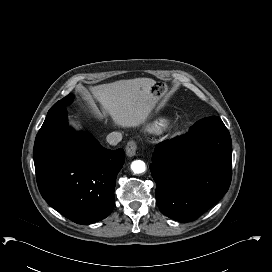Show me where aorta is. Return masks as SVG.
<instances>
[{"mask_svg":"<svg viewBox=\"0 0 272 272\" xmlns=\"http://www.w3.org/2000/svg\"><path fill=\"white\" fill-rule=\"evenodd\" d=\"M131 169L135 174H140V173L145 172L146 165H145V163L143 161L136 160V161L132 162Z\"/></svg>","mask_w":272,"mask_h":272,"instance_id":"762f6f07","label":"aorta"}]
</instances>
